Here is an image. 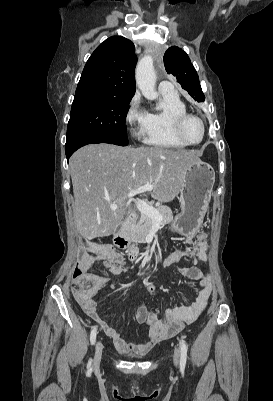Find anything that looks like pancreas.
<instances>
[{"label": "pancreas", "mask_w": 273, "mask_h": 401, "mask_svg": "<svg viewBox=\"0 0 273 401\" xmlns=\"http://www.w3.org/2000/svg\"><path fill=\"white\" fill-rule=\"evenodd\" d=\"M156 209L163 217L160 225H169V223H172L173 215L169 207L160 205V207H156ZM150 229H152L151 217H147V215L140 213V217H138V219L132 223L131 227H129L130 241H132V243H142L148 233H150Z\"/></svg>", "instance_id": "pancreas-1"}]
</instances>
